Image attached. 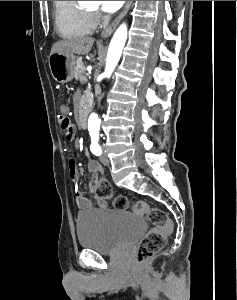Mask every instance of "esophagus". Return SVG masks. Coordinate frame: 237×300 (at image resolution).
Segmentation results:
<instances>
[{
    "mask_svg": "<svg viewBox=\"0 0 237 300\" xmlns=\"http://www.w3.org/2000/svg\"><path fill=\"white\" fill-rule=\"evenodd\" d=\"M131 3H132V1H126L125 6H124L123 10L121 11V13L116 17V19L111 24H109V26H107L106 29H104V31H102V33H101L102 38H107L108 36H110L113 33L115 28L120 23L121 19L124 18V16L128 12V9L130 8Z\"/></svg>",
    "mask_w": 237,
    "mask_h": 300,
    "instance_id": "obj_1",
    "label": "esophagus"
}]
</instances>
